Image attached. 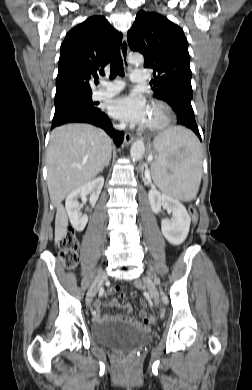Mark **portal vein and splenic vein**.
Instances as JSON below:
<instances>
[{
  "mask_svg": "<svg viewBox=\"0 0 252 390\" xmlns=\"http://www.w3.org/2000/svg\"><path fill=\"white\" fill-rule=\"evenodd\" d=\"M153 158L152 157H149L148 160L151 161ZM147 174L149 175V172H147Z\"/></svg>",
  "mask_w": 252,
  "mask_h": 390,
  "instance_id": "portal-vein-and-splenic-vein-1",
  "label": "portal vein and splenic vein"
}]
</instances>
